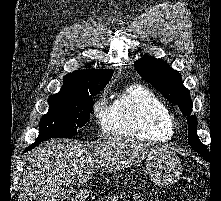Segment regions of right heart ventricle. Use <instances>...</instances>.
Wrapping results in <instances>:
<instances>
[{"instance_id":"obj_1","label":"right heart ventricle","mask_w":221,"mask_h":201,"mask_svg":"<svg viewBox=\"0 0 221 201\" xmlns=\"http://www.w3.org/2000/svg\"><path fill=\"white\" fill-rule=\"evenodd\" d=\"M110 130L118 136L166 142L172 138L173 122L168 107L154 92L131 85L110 106Z\"/></svg>"}]
</instances>
